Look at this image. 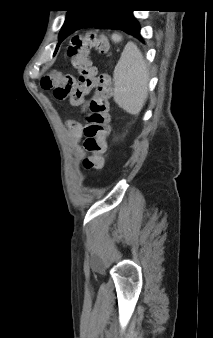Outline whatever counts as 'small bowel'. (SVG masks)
<instances>
[{"label":"small bowel","mask_w":213,"mask_h":338,"mask_svg":"<svg viewBox=\"0 0 213 338\" xmlns=\"http://www.w3.org/2000/svg\"><path fill=\"white\" fill-rule=\"evenodd\" d=\"M82 111L83 112L87 111L86 104H84L82 106ZM71 135H72L73 139L76 142L81 143L82 142V137H83V126L81 124H77L74 127H72V129H71Z\"/></svg>","instance_id":"c3829d8e"}]
</instances>
